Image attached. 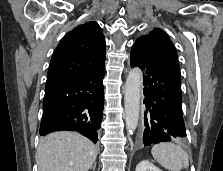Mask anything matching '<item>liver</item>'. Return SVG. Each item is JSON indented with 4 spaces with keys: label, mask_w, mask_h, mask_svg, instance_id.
I'll list each match as a JSON object with an SVG mask.
<instances>
[{
    "label": "liver",
    "mask_w": 223,
    "mask_h": 171,
    "mask_svg": "<svg viewBox=\"0 0 223 171\" xmlns=\"http://www.w3.org/2000/svg\"><path fill=\"white\" fill-rule=\"evenodd\" d=\"M97 153L95 145L86 137L59 131L40 140L36 163L38 171H88Z\"/></svg>",
    "instance_id": "obj_1"
}]
</instances>
